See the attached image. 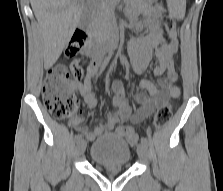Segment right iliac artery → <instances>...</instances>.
Returning <instances> with one entry per match:
<instances>
[{"label": "right iliac artery", "mask_w": 223, "mask_h": 191, "mask_svg": "<svg viewBox=\"0 0 223 191\" xmlns=\"http://www.w3.org/2000/svg\"><path fill=\"white\" fill-rule=\"evenodd\" d=\"M79 139H81V135L80 134H78V135L75 136V140L76 141H78Z\"/></svg>", "instance_id": "obj_1"}]
</instances>
